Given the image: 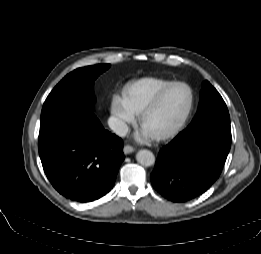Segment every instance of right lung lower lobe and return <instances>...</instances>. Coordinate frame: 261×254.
<instances>
[{"instance_id":"98d812e1","label":"right lung lower lobe","mask_w":261,"mask_h":254,"mask_svg":"<svg viewBox=\"0 0 261 254\" xmlns=\"http://www.w3.org/2000/svg\"><path fill=\"white\" fill-rule=\"evenodd\" d=\"M38 147L53 187L79 202L105 195L125 158L122 139L105 130L79 100L43 105Z\"/></svg>"}]
</instances>
